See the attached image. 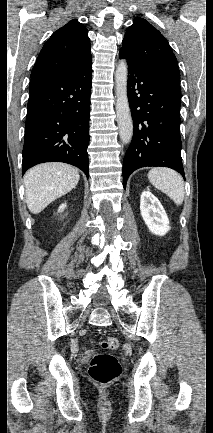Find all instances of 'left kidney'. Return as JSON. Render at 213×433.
Segmentation results:
<instances>
[{
	"label": "left kidney",
	"instance_id": "left-kidney-1",
	"mask_svg": "<svg viewBox=\"0 0 213 433\" xmlns=\"http://www.w3.org/2000/svg\"><path fill=\"white\" fill-rule=\"evenodd\" d=\"M140 211L151 233L164 236L170 230L169 220L162 204L150 191L142 192Z\"/></svg>",
	"mask_w": 213,
	"mask_h": 433
}]
</instances>
